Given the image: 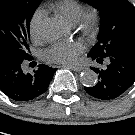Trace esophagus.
Returning <instances> with one entry per match:
<instances>
[{"label":"esophagus","instance_id":"obj_1","mask_svg":"<svg viewBox=\"0 0 135 135\" xmlns=\"http://www.w3.org/2000/svg\"><path fill=\"white\" fill-rule=\"evenodd\" d=\"M64 67H69V66H64ZM70 69H72L73 71H76V72H80L84 69V67H80V66H71L69 67Z\"/></svg>","mask_w":135,"mask_h":135}]
</instances>
